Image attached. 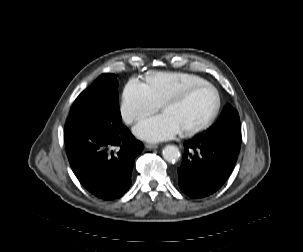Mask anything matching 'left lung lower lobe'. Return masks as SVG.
<instances>
[{
    "instance_id": "1",
    "label": "left lung lower lobe",
    "mask_w": 303,
    "mask_h": 252,
    "mask_svg": "<svg viewBox=\"0 0 303 252\" xmlns=\"http://www.w3.org/2000/svg\"><path fill=\"white\" fill-rule=\"evenodd\" d=\"M184 147L178 169L179 187L191 198H202L217 191L226 181L236 163L240 142L198 136Z\"/></svg>"
}]
</instances>
